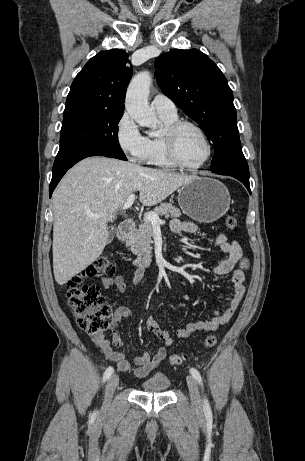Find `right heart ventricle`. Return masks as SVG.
<instances>
[{"instance_id": "right-heart-ventricle-1", "label": "right heart ventricle", "mask_w": 305, "mask_h": 461, "mask_svg": "<svg viewBox=\"0 0 305 461\" xmlns=\"http://www.w3.org/2000/svg\"><path fill=\"white\" fill-rule=\"evenodd\" d=\"M159 117L161 118L164 128L159 134H150L148 137H146V151H145V156L143 161L146 164L161 167V168H167V169H173L175 168V165L170 162V160L167 158L166 153L164 151L163 147V133L165 128L178 120L177 115H164V114H159Z\"/></svg>"}]
</instances>
